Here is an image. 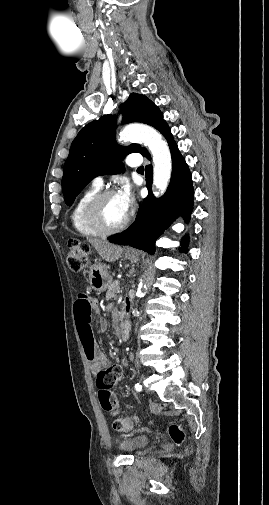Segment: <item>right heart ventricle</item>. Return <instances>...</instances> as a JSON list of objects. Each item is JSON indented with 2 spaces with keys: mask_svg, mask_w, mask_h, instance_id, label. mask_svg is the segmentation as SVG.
<instances>
[{
  "mask_svg": "<svg viewBox=\"0 0 269 505\" xmlns=\"http://www.w3.org/2000/svg\"><path fill=\"white\" fill-rule=\"evenodd\" d=\"M100 192V187L92 185L86 189L75 202L70 214L73 229L83 237H96L100 234L89 226L85 219V208L94 195Z\"/></svg>",
  "mask_w": 269,
  "mask_h": 505,
  "instance_id": "right-heart-ventricle-1",
  "label": "right heart ventricle"
}]
</instances>
